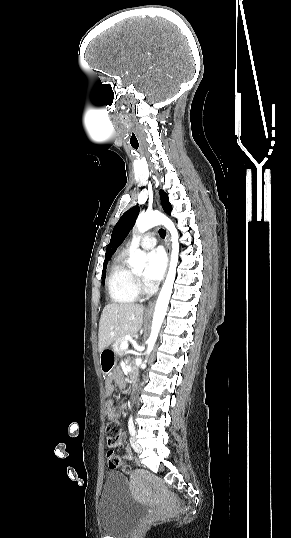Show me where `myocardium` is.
I'll return each instance as SVG.
<instances>
[{"mask_svg":"<svg viewBox=\"0 0 291 538\" xmlns=\"http://www.w3.org/2000/svg\"><path fill=\"white\" fill-rule=\"evenodd\" d=\"M133 281H134L135 290L138 294H143L146 292V288L141 280V277H139L134 272H133Z\"/></svg>","mask_w":291,"mask_h":538,"instance_id":"f54148a6","label":"myocardium"}]
</instances>
